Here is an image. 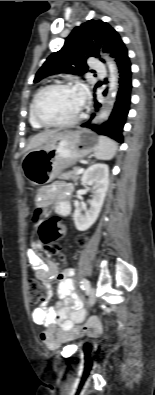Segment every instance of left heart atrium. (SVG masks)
I'll use <instances>...</instances> for the list:
<instances>
[{
	"instance_id": "obj_1",
	"label": "left heart atrium",
	"mask_w": 155,
	"mask_h": 395,
	"mask_svg": "<svg viewBox=\"0 0 155 395\" xmlns=\"http://www.w3.org/2000/svg\"><path fill=\"white\" fill-rule=\"evenodd\" d=\"M76 92L79 104L82 107L87 99V91L84 86L80 85L76 88Z\"/></svg>"
}]
</instances>
